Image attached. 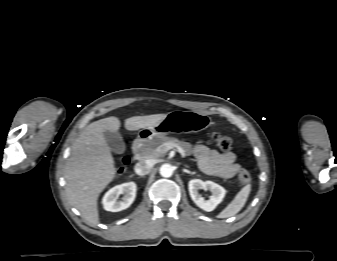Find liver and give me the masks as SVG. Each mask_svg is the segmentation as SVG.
Listing matches in <instances>:
<instances>
[{
    "instance_id": "1",
    "label": "liver",
    "mask_w": 337,
    "mask_h": 261,
    "mask_svg": "<svg viewBox=\"0 0 337 261\" xmlns=\"http://www.w3.org/2000/svg\"><path fill=\"white\" fill-rule=\"evenodd\" d=\"M167 114L134 116L125 120V128L135 131L148 128ZM117 117L100 119L89 124L76 139L65 168L66 195L84 219L91 225L99 223L98 197L116 176L115 161L104 131L117 132Z\"/></svg>"
}]
</instances>
